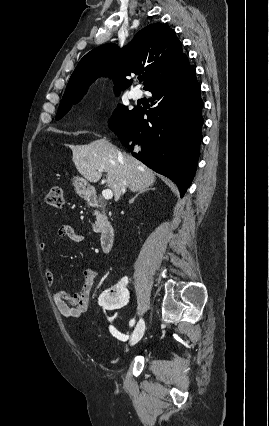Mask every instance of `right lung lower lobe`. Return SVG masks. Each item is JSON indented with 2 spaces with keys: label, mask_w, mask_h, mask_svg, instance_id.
<instances>
[{
  "label": "right lung lower lobe",
  "mask_w": 269,
  "mask_h": 426,
  "mask_svg": "<svg viewBox=\"0 0 269 426\" xmlns=\"http://www.w3.org/2000/svg\"><path fill=\"white\" fill-rule=\"evenodd\" d=\"M147 91L156 107L147 112L135 107L113 131L134 157L174 181L183 197L197 168L204 122L195 69L190 65ZM135 144L141 152H133Z\"/></svg>",
  "instance_id": "right-lung-lower-lobe-1"
}]
</instances>
